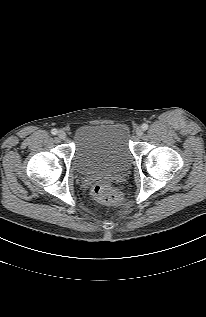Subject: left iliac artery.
<instances>
[{
  "mask_svg": "<svg viewBox=\"0 0 206 317\" xmlns=\"http://www.w3.org/2000/svg\"><path fill=\"white\" fill-rule=\"evenodd\" d=\"M142 128H143V130H147V129H148V124L144 123V124L142 125Z\"/></svg>",
  "mask_w": 206,
  "mask_h": 317,
  "instance_id": "1",
  "label": "left iliac artery"
}]
</instances>
